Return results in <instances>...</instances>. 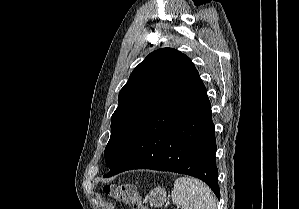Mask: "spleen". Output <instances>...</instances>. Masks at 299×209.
Segmentation results:
<instances>
[{
    "instance_id": "obj_1",
    "label": "spleen",
    "mask_w": 299,
    "mask_h": 209,
    "mask_svg": "<svg viewBox=\"0 0 299 209\" xmlns=\"http://www.w3.org/2000/svg\"><path fill=\"white\" fill-rule=\"evenodd\" d=\"M171 197L172 202L182 209H216V198L212 190L195 178H177Z\"/></svg>"
}]
</instances>
